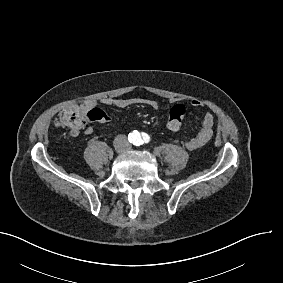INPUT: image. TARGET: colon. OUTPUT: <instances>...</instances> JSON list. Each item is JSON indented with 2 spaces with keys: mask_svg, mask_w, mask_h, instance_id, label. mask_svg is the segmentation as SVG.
Returning a JSON list of instances; mask_svg holds the SVG:
<instances>
[{
  "mask_svg": "<svg viewBox=\"0 0 283 283\" xmlns=\"http://www.w3.org/2000/svg\"><path fill=\"white\" fill-rule=\"evenodd\" d=\"M78 111L77 105H72L64 109L55 117V125L68 130L70 135H76L84 130L89 124L86 122L85 114ZM188 115V108L181 103H175L167 121V127L170 130H177L180 127L181 120Z\"/></svg>",
  "mask_w": 283,
  "mask_h": 283,
  "instance_id": "colon-1",
  "label": "colon"
}]
</instances>
